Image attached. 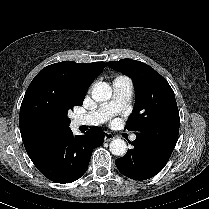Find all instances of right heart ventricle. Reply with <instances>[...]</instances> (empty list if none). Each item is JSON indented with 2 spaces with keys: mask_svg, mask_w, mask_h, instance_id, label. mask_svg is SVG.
<instances>
[{
  "mask_svg": "<svg viewBox=\"0 0 209 209\" xmlns=\"http://www.w3.org/2000/svg\"><path fill=\"white\" fill-rule=\"evenodd\" d=\"M117 79H126V78H124V77H119V78H117ZM117 79H116V80H117Z\"/></svg>",
  "mask_w": 209,
  "mask_h": 209,
  "instance_id": "right-heart-ventricle-1",
  "label": "right heart ventricle"
}]
</instances>
